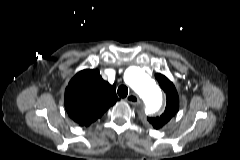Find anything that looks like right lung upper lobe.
Wrapping results in <instances>:
<instances>
[{
	"instance_id": "1",
	"label": "right lung upper lobe",
	"mask_w": 240,
	"mask_h": 160,
	"mask_svg": "<svg viewBox=\"0 0 240 160\" xmlns=\"http://www.w3.org/2000/svg\"><path fill=\"white\" fill-rule=\"evenodd\" d=\"M117 100L115 85L104 81L94 69L77 73L65 90V109L81 126H89Z\"/></svg>"
}]
</instances>
